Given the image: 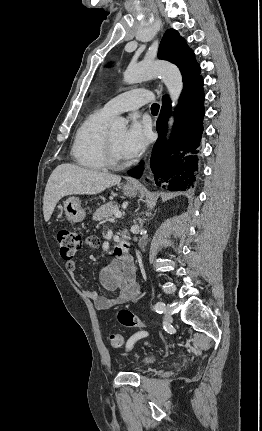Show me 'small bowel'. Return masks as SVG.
<instances>
[{"instance_id": "small-bowel-1", "label": "small bowel", "mask_w": 262, "mask_h": 431, "mask_svg": "<svg viewBox=\"0 0 262 431\" xmlns=\"http://www.w3.org/2000/svg\"><path fill=\"white\" fill-rule=\"evenodd\" d=\"M66 270L71 277L76 280L74 261L65 263ZM100 284L105 292L114 293L113 297H105L86 285L76 281V286L91 299L99 310H110L113 307L126 303L136 302L140 295V286L137 282V270L132 257H117L111 260L108 265L100 272ZM143 332L135 333L130 342L134 343L140 338Z\"/></svg>"}]
</instances>
